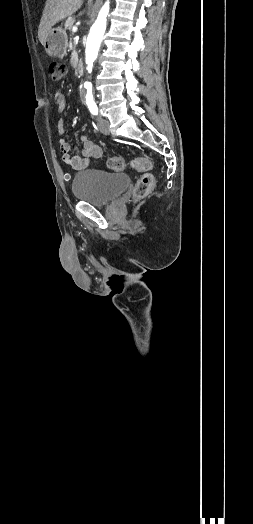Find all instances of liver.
Instances as JSON below:
<instances>
[{
  "mask_svg": "<svg viewBox=\"0 0 253 524\" xmlns=\"http://www.w3.org/2000/svg\"><path fill=\"white\" fill-rule=\"evenodd\" d=\"M83 0H47L38 29V38L45 44L52 26L67 16L75 13L82 5Z\"/></svg>",
  "mask_w": 253,
  "mask_h": 524,
  "instance_id": "1",
  "label": "liver"
}]
</instances>
